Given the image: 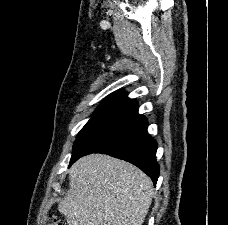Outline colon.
Segmentation results:
<instances>
[{"mask_svg":"<svg viewBox=\"0 0 228 225\" xmlns=\"http://www.w3.org/2000/svg\"><path fill=\"white\" fill-rule=\"evenodd\" d=\"M47 225H65V223L62 220L52 216L48 219Z\"/></svg>","mask_w":228,"mask_h":225,"instance_id":"colon-1","label":"colon"}]
</instances>
